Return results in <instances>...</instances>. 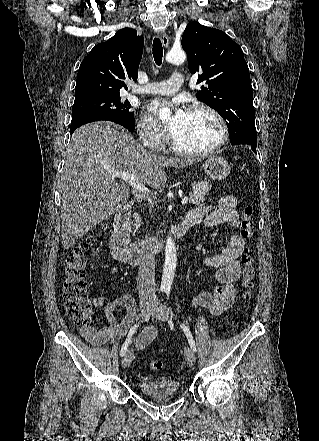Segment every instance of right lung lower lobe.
I'll return each mask as SVG.
<instances>
[{
  "label": "right lung lower lobe",
  "instance_id": "1",
  "mask_svg": "<svg viewBox=\"0 0 319 441\" xmlns=\"http://www.w3.org/2000/svg\"><path fill=\"white\" fill-rule=\"evenodd\" d=\"M100 120H108V121H112V122H115V123H118V124H120V125H122L120 122H118L117 120H115V119H113V118H93V119H89V120H84V121H81V122H79V123H77V124H74V125H71V127H70V132H71V134H73V132L78 128V127H80V126H82V125H84V124H86V123H89V122H94V121H100Z\"/></svg>",
  "mask_w": 319,
  "mask_h": 441
}]
</instances>
